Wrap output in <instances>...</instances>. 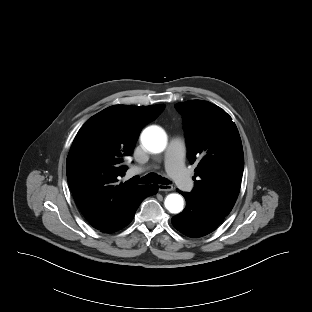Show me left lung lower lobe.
<instances>
[{
    "instance_id": "obj_1",
    "label": "left lung lower lobe",
    "mask_w": 312,
    "mask_h": 312,
    "mask_svg": "<svg viewBox=\"0 0 312 312\" xmlns=\"http://www.w3.org/2000/svg\"><path fill=\"white\" fill-rule=\"evenodd\" d=\"M187 207L172 218L173 226L189 237H201L211 233L223 221L224 217L211 209L194 202L185 193Z\"/></svg>"
}]
</instances>
